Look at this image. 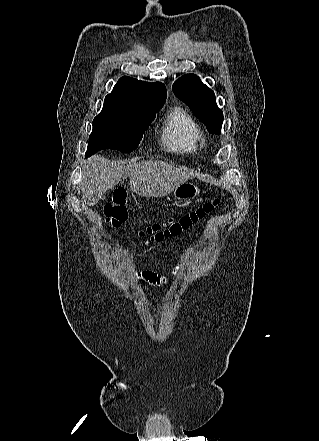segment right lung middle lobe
<instances>
[{
  "label": "right lung middle lobe",
  "instance_id": "dd1d6c3e",
  "mask_svg": "<svg viewBox=\"0 0 319 441\" xmlns=\"http://www.w3.org/2000/svg\"><path fill=\"white\" fill-rule=\"evenodd\" d=\"M161 107L103 109L94 118L86 157L103 149L132 152Z\"/></svg>",
  "mask_w": 319,
  "mask_h": 441
}]
</instances>
